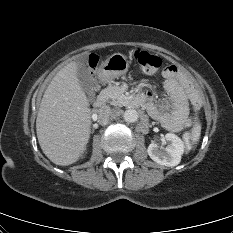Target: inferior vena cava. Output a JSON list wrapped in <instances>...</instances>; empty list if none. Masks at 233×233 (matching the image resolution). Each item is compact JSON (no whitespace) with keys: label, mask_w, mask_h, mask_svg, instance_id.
I'll return each instance as SVG.
<instances>
[{"label":"inferior vena cava","mask_w":233,"mask_h":233,"mask_svg":"<svg viewBox=\"0 0 233 233\" xmlns=\"http://www.w3.org/2000/svg\"><path fill=\"white\" fill-rule=\"evenodd\" d=\"M115 116V113L108 106H104L98 110L97 121L101 125H106L111 117Z\"/></svg>","instance_id":"602c4592"}]
</instances>
